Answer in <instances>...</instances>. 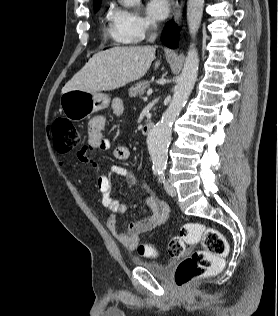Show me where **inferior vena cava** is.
<instances>
[{"label":"inferior vena cava","instance_id":"obj_1","mask_svg":"<svg viewBox=\"0 0 278 316\" xmlns=\"http://www.w3.org/2000/svg\"><path fill=\"white\" fill-rule=\"evenodd\" d=\"M149 40L153 42L155 40V35H151Z\"/></svg>","mask_w":278,"mask_h":316}]
</instances>
